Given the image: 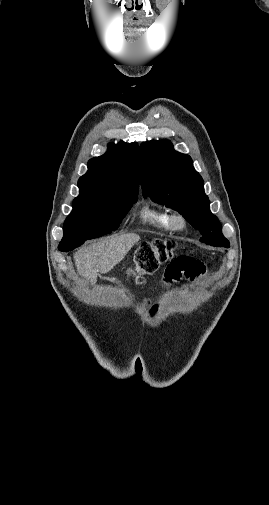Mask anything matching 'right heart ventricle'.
Here are the masks:
<instances>
[{
  "instance_id": "obj_1",
  "label": "right heart ventricle",
  "mask_w": 269,
  "mask_h": 505,
  "mask_svg": "<svg viewBox=\"0 0 269 505\" xmlns=\"http://www.w3.org/2000/svg\"><path fill=\"white\" fill-rule=\"evenodd\" d=\"M138 214L140 222L145 225L164 232L173 230L169 221L170 213L164 208L145 203L141 206Z\"/></svg>"
}]
</instances>
